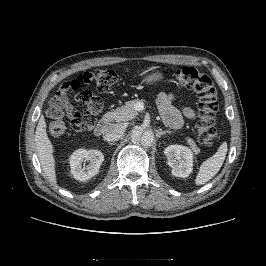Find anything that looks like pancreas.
Here are the masks:
<instances>
[{"instance_id":"1","label":"pancreas","mask_w":266,"mask_h":266,"mask_svg":"<svg viewBox=\"0 0 266 266\" xmlns=\"http://www.w3.org/2000/svg\"><path fill=\"white\" fill-rule=\"evenodd\" d=\"M137 102H144V100L136 99L126 102V104L123 105L121 108H117L116 110L107 113V115L109 116V120L115 122H126L134 119L138 114V112L134 108ZM186 141L196 154L200 152V148L197 147L193 139L187 137Z\"/></svg>"}]
</instances>
